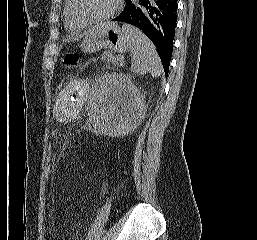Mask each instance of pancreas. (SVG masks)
Wrapping results in <instances>:
<instances>
[{"label":"pancreas","mask_w":257,"mask_h":240,"mask_svg":"<svg viewBox=\"0 0 257 240\" xmlns=\"http://www.w3.org/2000/svg\"><path fill=\"white\" fill-rule=\"evenodd\" d=\"M118 57H122V56L114 57V55L112 53H110V52H105L102 55V59H104L108 63H112L114 65H118V62H119Z\"/></svg>","instance_id":"1"}]
</instances>
